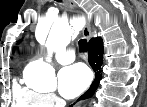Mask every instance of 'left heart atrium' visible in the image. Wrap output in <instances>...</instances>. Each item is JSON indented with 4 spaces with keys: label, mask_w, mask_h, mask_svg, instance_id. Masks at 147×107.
Wrapping results in <instances>:
<instances>
[{
    "label": "left heart atrium",
    "mask_w": 147,
    "mask_h": 107,
    "mask_svg": "<svg viewBox=\"0 0 147 107\" xmlns=\"http://www.w3.org/2000/svg\"><path fill=\"white\" fill-rule=\"evenodd\" d=\"M90 79V71L82 64L65 67L58 75L59 93L64 98H74L86 89Z\"/></svg>",
    "instance_id": "obj_1"
}]
</instances>
